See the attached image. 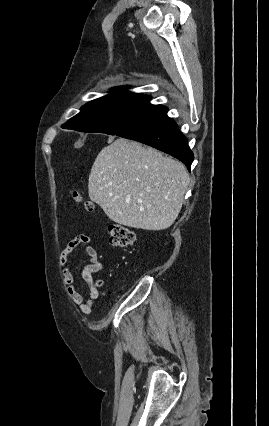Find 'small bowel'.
Masks as SVG:
<instances>
[{
  "label": "small bowel",
  "mask_w": 269,
  "mask_h": 426,
  "mask_svg": "<svg viewBox=\"0 0 269 426\" xmlns=\"http://www.w3.org/2000/svg\"><path fill=\"white\" fill-rule=\"evenodd\" d=\"M77 248H82L88 258V264L82 269L81 276L89 287V296L85 300L84 295L74 285V277L68 265L70 254ZM59 265L63 274V284L66 286L71 301L79 307L82 314L92 311L94 302L99 297V289L103 286L102 280L95 279L94 274L101 271L103 266L98 254L92 246L90 237L79 235L69 241L59 257Z\"/></svg>",
  "instance_id": "1"
}]
</instances>
